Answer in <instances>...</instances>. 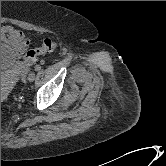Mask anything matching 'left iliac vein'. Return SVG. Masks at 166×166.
Wrapping results in <instances>:
<instances>
[{
    "label": "left iliac vein",
    "mask_w": 166,
    "mask_h": 166,
    "mask_svg": "<svg viewBox=\"0 0 166 166\" xmlns=\"http://www.w3.org/2000/svg\"><path fill=\"white\" fill-rule=\"evenodd\" d=\"M35 78H36L35 73H34V72H31V73L28 75L27 80H28L29 82H33V81L35 80Z\"/></svg>",
    "instance_id": "obj_1"
}]
</instances>
